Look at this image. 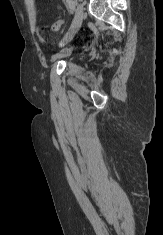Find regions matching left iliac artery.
<instances>
[{
	"mask_svg": "<svg viewBox=\"0 0 163 235\" xmlns=\"http://www.w3.org/2000/svg\"><path fill=\"white\" fill-rule=\"evenodd\" d=\"M68 5H69V8L71 9V11L73 12L74 9H75V4H74V1L73 0H66Z\"/></svg>",
	"mask_w": 163,
	"mask_h": 235,
	"instance_id": "1",
	"label": "left iliac artery"
}]
</instances>
